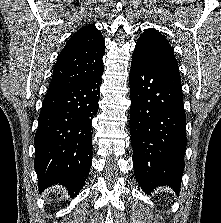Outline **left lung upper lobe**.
<instances>
[{
    "label": "left lung upper lobe",
    "mask_w": 221,
    "mask_h": 223,
    "mask_svg": "<svg viewBox=\"0 0 221 223\" xmlns=\"http://www.w3.org/2000/svg\"><path fill=\"white\" fill-rule=\"evenodd\" d=\"M134 51L150 60L178 67L171 45L154 29H147L139 37Z\"/></svg>",
    "instance_id": "obj_1"
}]
</instances>
